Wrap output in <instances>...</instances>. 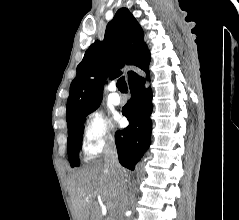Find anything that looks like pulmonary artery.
I'll return each mask as SVG.
<instances>
[{
	"label": "pulmonary artery",
	"mask_w": 239,
	"mask_h": 220,
	"mask_svg": "<svg viewBox=\"0 0 239 220\" xmlns=\"http://www.w3.org/2000/svg\"><path fill=\"white\" fill-rule=\"evenodd\" d=\"M117 88L114 83L109 86L108 99L112 104L118 105L121 102V96L116 92Z\"/></svg>",
	"instance_id": "obj_1"
}]
</instances>
